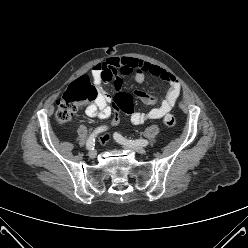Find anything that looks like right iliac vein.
<instances>
[{
    "instance_id": "right-iliac-vein-1",
    "label": "right iliac vein",
    "mask_w": 248,
    "mask_h": 248,
    "mask_svg": "<svg viewBox=\"0 0 248 248\" xmlns=\"http://www.w3.org/2000/svg\"><path fill=\"white\" fill-rule=\"evenodd\" d=\"M88 155L90 158L94 159L97 156V151L92 149L89 151Z\"/></svg>"
}]
</instances>
